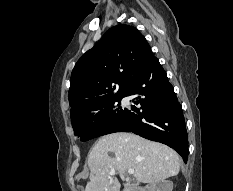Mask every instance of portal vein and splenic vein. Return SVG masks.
<instances>
[{
    "label": "portal vein and splenic vein",
    "mask_w": 233,
    "mask_h": 191,
    "mask_svg": "<svg viewBox=\"0 0 233 191\" xmlns=\"http://www.w3.org/2000/svg\"><path fill=\"white\" fill-rule=\"evenodd\" d=\"M128 173H129V174H134V169H129V170H128ZM109 174H110L111 176L115 175V170L110 171Z\"/></svg>",
    "instance_id": "portal-vein-and-splenic-vein-1"
}]
</instances>
